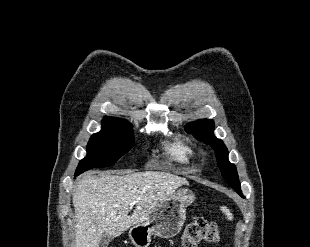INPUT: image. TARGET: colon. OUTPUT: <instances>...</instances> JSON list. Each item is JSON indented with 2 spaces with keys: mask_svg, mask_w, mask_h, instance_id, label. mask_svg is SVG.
Returning <instances> with one entry per match:
<instances>
[{
  "mask_svg": "<svg viewBox=\"0 0 310 247\" xmlns=\"http://www.w3.org/2000/svg\"><path fill=\"white\" fill-rule=\"evenodd\" d=\"M220 238L216 223L204 218H195L184 229L181 247H198L201 241L217 242Z\"/></svg>",
  "mask_w": 310,
  "mask_h": 247,
  "instance_id": "1",
  "label": "colon"
}]
</instances>
